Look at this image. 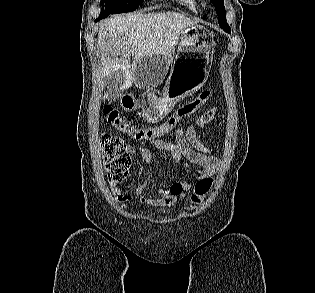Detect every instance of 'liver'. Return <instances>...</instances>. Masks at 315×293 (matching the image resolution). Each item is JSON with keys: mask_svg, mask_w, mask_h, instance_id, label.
I'll use <instances>...</instances> for the list:
<instances>
[{"mask_svg": "<svg viewBox=\"0 0 315 293\" xmlns=\"http://www.w3.org/2000/svg\"><path fill=\"white\" fill-rule=\"evenodd\" d=\"M195 24L197 20L176 12L118 15L106 20L99 27L97 45L103 74L118 70L124 73L125 82L117 96L133 83L131 57L138 63L143 58L162 55L170 63L181 32Z\"/></svg>", "mask_w": 315, "mask_h": 293, "instance_id": "1", "label": "liver"}]
</instances>
